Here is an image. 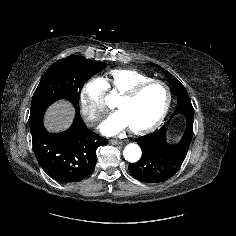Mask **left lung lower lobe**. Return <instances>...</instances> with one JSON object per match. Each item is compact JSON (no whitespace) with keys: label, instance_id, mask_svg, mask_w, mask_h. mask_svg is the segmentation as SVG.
Returning a JSON list of instances; mask_svg holds the SVG:
<instances>
[{"label":"left lung lower lobe","instance_id":"left-lung-lower-lobe-1","mask_svg":"<svg viewBox=\"0 0 236 236\" xmlns=\"http://www.w3.org/2000/svg\"><path fill=\"white\" fill-rule=\"evenodd\" d=\"M193 106L186 101L178 104L174 115L182 114L187 120L186 130L181 141L169 144L166 122L154 133L136 139L142 149V157L136 163L129 164V171L134 178L146 183H159L171 178L181 167L193 136Z\"/></svg>","mask_w":236,"mask_h":236}]
</instances>
